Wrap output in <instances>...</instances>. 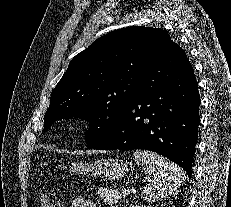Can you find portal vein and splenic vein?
<instances>
[{"mask_svg":"<svg viewBox=\"0 0 231 207\" xmlns=\"http://www.w3.org/2000/svg\"><path fill=\"white\" fill-rule=\"evenodd\" d=\"M122 193H123V195H128V194H130V190L124 189Z\"/></svg>","mask_w":231,"mask_h":207,"instance_id":"1","label":"portal vein and splenic vein"}]
</instances>
